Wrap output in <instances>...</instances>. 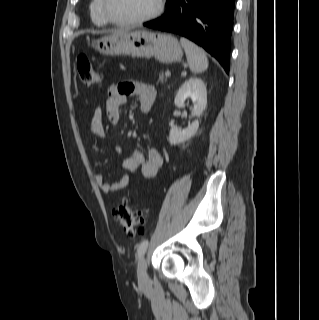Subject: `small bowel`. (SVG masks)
Listing matches in <instances>:
<instances>
[{
	"mask_svg": "<svg viewBox=\"0 0 319 320\" xmlns=\"http://www.w3.org/2000/svg\"><path fill=\"white\" fill-rule=\"evenodd\" d=\"M130 95L138 96L140 110L148 113L156 100L157 91L153 85L141 82L122 81L111 85L105 104L97 106L91 117V132L94 137L103 138L105 136L104 115L112 124L120 122V106ZM162 163L163 157L158 149L151 147L146 154L136 150L123 161V168L127 174L122 176L118 182L110 183L101 174L95 176V181L104 193L127 189L131 185L132 174L139 171L144 178H153Z\"/></svg>",
	"mask_w": 319,
	"mask_h": 320,
	"instance_id": "1",
	"label": "small bowel"
}]
</instances>
